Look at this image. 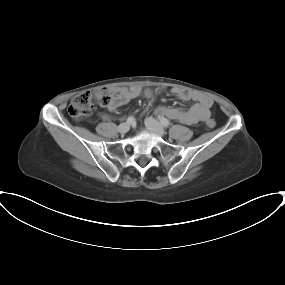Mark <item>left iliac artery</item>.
<instances>
[{
	"instance_id": "44dca946",
	"label": "left iliac artery",
	"mask_w": 285,
	"mask_h": 285,
	"mask_svg": "<svg viewBox=\"0 0 285 285\" xmlns=\"http://www.w3.org/2000/svg\"><path fill=\"white\" fill-rule=\"evenodd\" d=\"M159 120L161 122V124L164 126V127H169L170 125V122L168 119L164 118V117H159Z\"/></svg>"
}]
</instances>
